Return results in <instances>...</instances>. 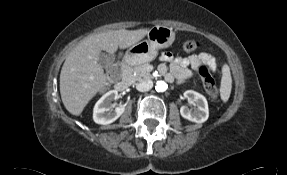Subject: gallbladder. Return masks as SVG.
<instances>
[{
	"label": "gallbladder",
	"instance_id": "gallbladder-1",
	"mask_svg": "<svg viewBox=\"0 0 287 175\" xmlns=\"http://www.w3.org/2000/svg\"><path fill=\"white\" fill-rule=\"evenodd\" d=\"M110 58L108 57V55L104 52H100L99 54V59H98V63L102 66V67H107L110 63Z\"/></svg>",
	"mask_w": 287,
	"mask_h": 175
}]
</instances>
